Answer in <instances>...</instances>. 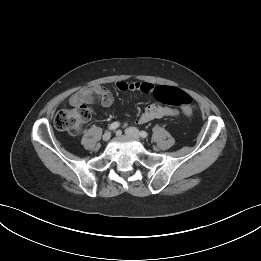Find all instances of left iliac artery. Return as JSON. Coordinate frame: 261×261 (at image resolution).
<instances>
[{
	"label": "left iliac artery",
	"instance_id": "obj_1",
	"mask_svg": "<svg viewBox=\"0 0 261 261\" xmlns=\"http://www.w3.org/2000/svg\"><path fill=\"white\" fill-rule=\"evenodd\" d=\"M140 136H141L142 138H146V137L148 136V133H147L146 131H141V132H140Z\"/></svg>",
	"mask_w": 261,
	"mask_h": 261
}]
</instances>
